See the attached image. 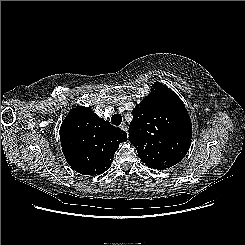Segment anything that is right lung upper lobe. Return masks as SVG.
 Segmentation results:
<instances>
[{"label":"right lung upper lobe","mask_w":245,"mask_h":245,"mask_svg":"<svg viewBox=\"0 0 245 245\" xmlns=\"http://www.w3.org/2000/svg\"><path fill=\"white\" fill-rule=\"evenodd\" d=\"M60 141L68 164L80 174H102L127 134L99 118L91 107L75 106L60 127Z\"/></svg>","instance_id":"right-lung-upper-lobe-1"}]
</instances>
